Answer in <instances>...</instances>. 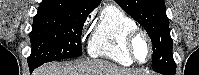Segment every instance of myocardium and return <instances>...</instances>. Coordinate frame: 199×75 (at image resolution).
Returning a JSON list of instances; mask_svg holds the SVG:
<instances>
[{
    "instance_id": "obj_1",
    "label": "myocardium",
    "mask_w": 199,
    "mask_h": 75,
    "mask_svg": "<svg viewBox=\"0 0 199 75\" xmlns=\"http://www.w3.org/2000/svg\"><path fill=\"white\" fill-rule=\"evenodd\" d=\"M138 36H142L143 38H145L146 41L148 42V45H149V56H148V58L145 62H140L137 59L135 52H134V41ZM126 46H127V50L129 52L131 59L135 63L143 65V64L148 63L151 60L152 55H153V51H154V47H153L151 37L149 36V34L145 30H143V29H141L137 26L130 29L126 34Z\"/></svg>"
}]
</instances>
